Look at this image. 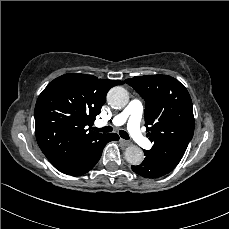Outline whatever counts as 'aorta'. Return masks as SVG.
<instances>
[{
  "label": "aorta",
  "mask_w": 229,
  "mask_h": 229,
  "mask_svg": "<svg viewBox=\"0 0 229 229\" xmlns=\"http://www.w3.org/2000/svg\"><path fill=\"white\" fill-rule=\"evenodd\" d=\"M107 102L114 109L123 108L129 102V94L121 86L113 87L107 94ZM124 155L126 161L132 165H140L143 162V150L136 145L128 146L125 149Z\"/></svg>",
  "instance_id": "762f6f07"
}]
</instances>
